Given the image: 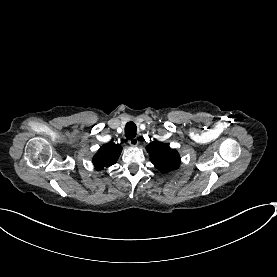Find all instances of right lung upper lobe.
<instances>
[{
	"label": "right lung upper lobe",
	"instance_id": "1",
	"mask_svg": "<svg viewBox=\"0 0 277 277\" xmlns=\"http://www.w3.org/2000/svg\"><path fill=\"white\" fill-rule=\"evenodd\" d=\"M119 144L107 143L100 147L98 152L93 157V164L96 169L101 170L115 164L121 153Z\"/></svg>",
	"mask_w": 277,
	"mask_h": 277
}]
</instances>
